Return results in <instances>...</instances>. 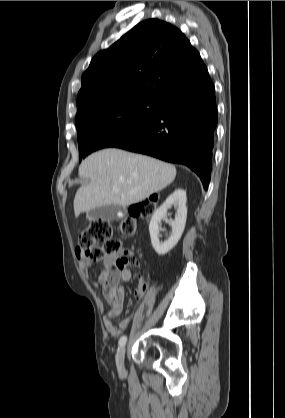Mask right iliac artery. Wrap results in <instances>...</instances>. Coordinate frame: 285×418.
<instances>
[{
	"label": "right iliac artery",
	"instance_id": "82829eb1",
	"mask_svg": "<svg viewBox=\"0 0 285 418\" xmlns=\"http://www.w3.org/2000/svg\"><path fill=\"white\" fill-rule=\"evenodd\" d=\"M127 337L124 335L119 340V347H123L126 344Z\"/></svg>",
	"mask_w": 285,
	"mask_h": 418
}]
</instances>
